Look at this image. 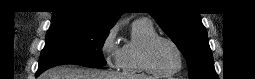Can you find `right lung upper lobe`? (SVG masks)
Here are the masks:
<instances>
[{"label":"right lung upper lobe","instance_id":"obj_1","mask_svg":"<svg viewBox=\"0 0 255 79\" xmlns=\"http://www.w3.org/2000/svg\"><path fill=\"white\" fill-rule=\"evenodd\" d=\"M63 3L60 10L53 12L52 24L110 29L121 13L110 10L108 3L101 0H68Z\"/></svg>","mask_w":255,"mask_h":79}]
</instances>
